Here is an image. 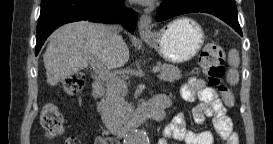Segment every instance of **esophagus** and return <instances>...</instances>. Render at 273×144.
I'll return each instance as SVG.
<instances>
[{
	"mask_svg": "<svg viewBox=\"0 0 273 144\" xmlns=\"http://www.w3.org/2000/svg\"><path fill=\"white\" fill-rule=\"evenodd\" d=\"M151 17L149 15L143 14L140 16V20L138 23V31L141 36L149 35L151 34Z\"/></svg>",
	"mask_w": 273,
	"mask_h": 144,
	"instance_id": "esophagus-1",
	"label": "esophagus"
}]
</instances>
